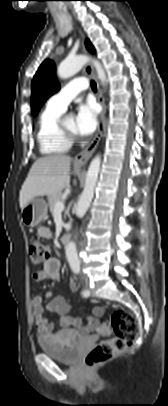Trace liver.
<instances>
[{
  "label": "liver",
  "mask_w": 168,
  "mask_h": 406,
  "mask_svg": "<svg viewBox=\"0 0 168 406\" xmlns=\"http://www.w3.org/2000/svg\"><path fill=\"white\" fill-rule=\"evenodd\" d=\"M70 162L71 157L66 155H49L37 159L20 190V208L23 209L35 197H52L61 193L70 182ZM74 174H78L76 167Z\"/></svg>",
  "instance_id": "1"
}]
</instances>
